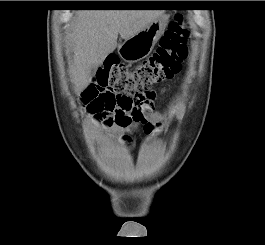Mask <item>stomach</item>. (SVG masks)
<instances>
[{"mask_svg": "<svg viewBox=\"0 0 265 245\" xmlns=\"http://www.w3.org/2000/svg\"><path fill=\"white\" fill-rule=\"evenodd\" d=\"M168 18L166 14H162L144 29L120 44L118 46L120 57L125 62L135 63L149 56L165 31Z\"/></svg>", "mask_w": 265, "mask_h": 245, "instance_id": "1", "label": "stomach"}]
</instances>
